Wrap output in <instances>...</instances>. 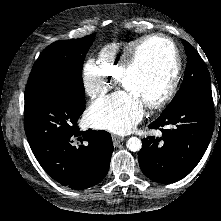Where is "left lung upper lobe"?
<instances>
[{
    "label": "left lung upper lobe",
    "instance_id": "left-lung-upper-lobe-1",
    "mask_svg": "<svg viewBox=\"0 0 221 221\" xmlns=\"http://www.w3.org/2000/svg\"><path fill=\"white\" fill-rule=\"evenodd\" d=\"M186 49L187 67L180 89L163 112H169L192 98L212 99L211 81L208 69L196 51L187 41L182 40Z\"/></svg>",
    "mask_w": 221,
    "mask_h": 221
}]
</instances>
